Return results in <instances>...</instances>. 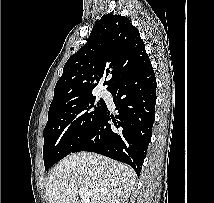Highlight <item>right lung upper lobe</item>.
<instances>
[{
  "label": "right lung upper lobe",
  "mask_w": 214,
  "mask_h": 203,
  "mask_svg": "<svg viewBox=\"0 0 214 203\" xmlns=\"http://www.w3.org/2000/svg\"><path fill=\"white\" fill-rule=\"evenodd\" d=\"M150 64L143 40L127 17L107 14L95 23L86 44L72 55L58 80L50 110L92 95L103 76L109 91Z\"/></svg>",
  "instance_id": "cb5924a9"
}]
</instances>
